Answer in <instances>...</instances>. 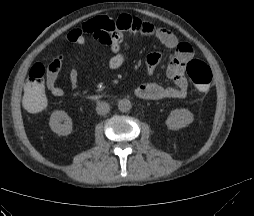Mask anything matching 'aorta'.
<instances>
[{"label": "aorta", "mask_w": 254, "mask_h": 216, "mask_svg": "<svg viewBox=\"0 0 254 216\" xmlns=\"http://www.w3.org/2000/svg\"><path fill=\"white\" fill-rule=\"evenodd\" d=\"M131 108H132V104H131V101L129 99H122L118 103V109L121 112H128V111L131 110Z\"/></svg>", "instance_id": "762f6f07"}]
</instances>
